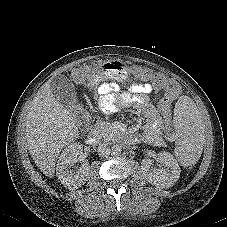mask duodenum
Returning <instances> with one entry per match:
<instances>
[{"instance_id": "obj_1", "label": "duodenum", "mask_w": 227, "mask_h": 227, "mask_svg": "<svg viewBox=\"0 0 227 227\" xmlns=\"http://www.w3.org/2000/svg\"><path fill=\"white\" fill-rule=\"evenodd\" d=\"M86 141L89 145H96L98 143L97 134L94 131H89L86 134Z\"/></svg>"}]
</instances>
